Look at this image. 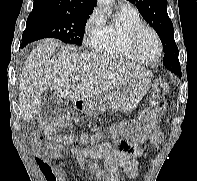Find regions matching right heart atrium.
I'll list each match as a JSON object with an SVG mask.
<instances>
[{"mask_svg": "<svg viewBox=\"0 0 197 181\" xmlns=\"http://www.w3.org/2000/svg\"><path fill=\"white\" fill-rule=\"evenodd\" d=\"M104 25V17L100 9H94L86 20L84 26V40L92 43L93 39L100 33Z\"/></svg>", "mask_w": 197, "mask_h": 181, "instance_id": "right-heart-atrium-1", "label": "right heart atrium"}]
</instances>
